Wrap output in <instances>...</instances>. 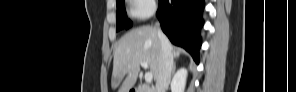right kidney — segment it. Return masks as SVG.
I'll use <instances>...</instances> for the list:
<instances>
[{
	"label": "right kidney",
	"mask_w": 296,
	"mask_h": 92,
	"mask_svg": "<svg viewBox=\"0 0 296 92\" xmlns=\"http://www.w3.org/2000/svg\"><path fill=\"white\" fill-rule=\"evenodd\" d=\"M187 70L185 68L179 69L171 81L172 92H184L186 86Z\"/></svg>",
	"instance_id": "obj_1"
}]
</instances>
